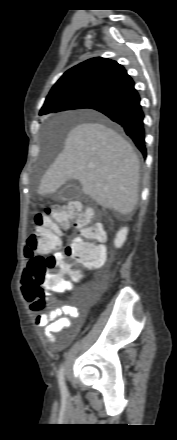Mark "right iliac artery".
Segmentation results:
<instances>
[{
    "instance_id": "right-iliac-artery-1",
    "label": "right iliac artery",
    "mask_w": 177,
    "mask_h": 440,
    "mask_svg": "<svg viewBox=\"0 0 177 440\" xmlns=\"http://www.w3.org/2000/svg\"><path fill=\"white\" fill-rule=\"evenodd\" d=\"M64 374H65V370H64V366H62L59 370L58 382H59V387H60L62 395L66 396L67 395V388L65 385Z\"/></svg>"
}]
</instances>
